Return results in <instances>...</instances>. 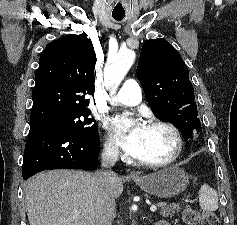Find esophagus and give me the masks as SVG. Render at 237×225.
<instances>
[{
  "label": "esophagus",
  "instance_id": "1",
  "mask_svg": "<svg viewBox=\"0 0 237 225\" xmlns=\"http://www.w3.org/2000/svg\"><path fill=\"white\" fill-rule=\"evenodd\" d=\"M130 176H131V177H138V174H137L136 172H131V173H130Z\"/></svg>",
  "mask_w": 237,
  "mask_h": 225
}]
</instances>
